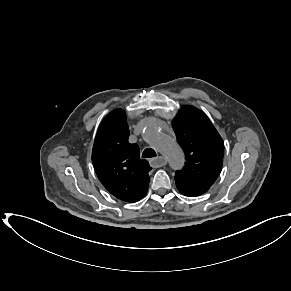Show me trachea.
Here are the masks:
<instances>
[{
  "instance_id": "trachea-1",
  "label": "trachea",
  "mask_w": 291,
  "mask_h": 291,
  "mask_svg": "<svg viewBox=\"0 0 291 291\" xmlns=\"http://www.w3.org/2000/svg\"><path fill=\"white\" fill-rule=\"evenodd\" d=\"M155 156H156V152L152 148L145 149L142 154L143 158H151Z\"/></svg>"
}]
</instances>
